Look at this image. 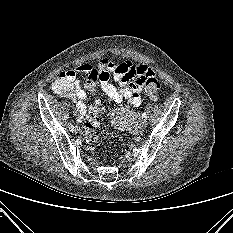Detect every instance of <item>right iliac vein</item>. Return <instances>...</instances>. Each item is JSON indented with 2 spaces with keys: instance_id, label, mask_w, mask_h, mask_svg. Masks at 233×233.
I'll use <instances>...</instances> for the list:
<instances>
[{
  "instance_id": "right-iliac-vein-1",
  "label": "right iliac vein",
  "mask_w": 233,
  "mask_h": 233,
  "mask_svg": "<svg viewBox=\"0 0 233 233\" xmlns=\"http://www.w3.org/2000/svg\"><path fill=\"white\" fill-rule=\"evenodd\" d=\"M75 131H76L77 133L80 132V128L77 126L76 129H75Z\"/></svg>"
}]
</instances>
